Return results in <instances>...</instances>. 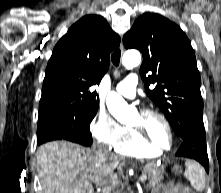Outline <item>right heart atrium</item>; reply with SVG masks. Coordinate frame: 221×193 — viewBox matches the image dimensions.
Here are the masks:
<instances>
[{"label": "right heart atrium", "instance_id": "d8ad5b80", "mask_svg": "<svg viewBox=\"0 0 221 193\" xmlns=\"http://www.w3.org/2000/svg\"><path fill=\"white\" fill-rule=\"evenodd\" d=\"M94 139L100 144L112 147L122 136L123 127L105 109H99L90 124Z\"/></svg>", "mask_w": 221, "mask_h": 193}]
</instances>
